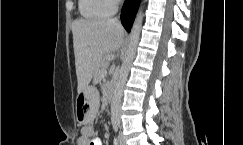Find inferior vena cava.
<instances>
[{
	"instance_id": "1",
	"label": "inferior vena cava",
	"mask_w": 243,
	"mask_h": 145,
	"mask_svg": "<svg viewBox=\"0 0 243 145\" xmlns=\"http://www.w3.org/2000/svg\"><path fill=\"white\" fill-rule=\"evenodd\" d=\"M115 21H118L117 18L114 19Z\"/></svg>"
}]
</instances>
